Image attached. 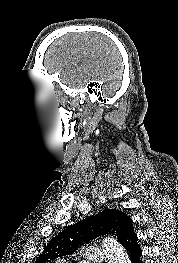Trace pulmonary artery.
I'll return each instance as SVG.
<instances>
[{
    "instance_id": "e3ab8cb5",
    "label": "pulmonary artery",
    "mask_w": 178,
    "mask_h": 263,
    "mask_svg": "<svg viewBox=\"0 0 178 263\" xmlns=\"http://www.w3.org/2000/svg\"><path fill=\"white\" fill-rule=\"evenodd\" d=\"M104 257L105 254L103 250L97 247L89 248L85 253L86 262L99 263L104 259Z\"/></svg>"
}]
</instances>
